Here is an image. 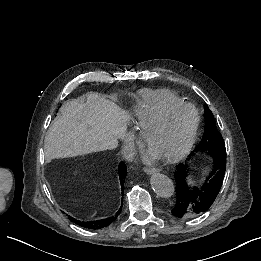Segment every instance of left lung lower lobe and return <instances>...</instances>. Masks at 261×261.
Instances as JSON below:
<instances>
[{
	"label": "left lung lower lobe",
	"mask_w": 261,
	"mask_h": 261,
	"mask_svg": "<svg viewBox=\"0 0 261 261\" xmlns=\"http://www.w3.org/2000/svg\"><path fill=\"white\" fill-rule=\"evenodd\" d=\"M193 151L190 158L197 154ZM206 152V151H205ZM213 167L202 188L191 189L187 184V164H178L174 172L177 200L171 213L178 218H190L206 212L218 195L226 170V153L207 151Z\"/></svg>",
	"instance_id": "left-lung-lower-lobe-1"
}]
</instances>
